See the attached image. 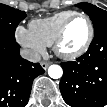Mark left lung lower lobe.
Returning a JSON list of instances; mask_svg holds the SVG:
<instances>
[{
  "instance_id": "obj_1",
  "label": "left lung lower lobe",
  "mask_w": 107,
  "mask_h": 107,
  "mask_svg": "<svg viewBox=\"0 0 107 107\" xmlns=\"http://www.w3.org/2000/svg\"><path fill=\"white\" fill-rule=\"evenodd\" d=\"M60 91L71 107L107 105V28L94 34L88 51L77 61L63 62Z\"/></svg>"
}]
</instances>
